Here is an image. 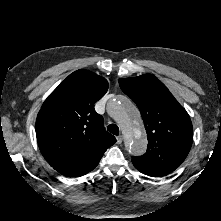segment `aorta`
Here are the masks:
<instances>
[{
	"label": "aorta",
	"mask_w": 221,
	"mask_h": 221,
	"mask_svg": "<svg viewBox=\"0 0 221 221\" xmlns=\"http://www.w3.org/2000/svg\"><path fill=\"white\" fill-rule=\"evenodd\" d=\"M107 109L122 129L125 148L136 156L145 153L147 140L137 108L127 99H117L109 102Z\"/></svg>",
	"instance_id": "762f6f07"
}]
</instances>
